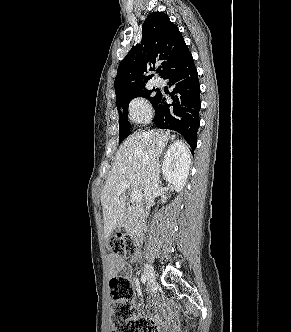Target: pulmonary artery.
<instances>
[{"label":"pulmonary artery","instance_id":"e3ab8cb5","mask_svg":"<svg viewBox=\"0 0 291 332\" xmlns=\"http://www.w3.org/2000/svg\"><path fill=\"white\" fill-rule=\"evenodd\" d=\"M155 84L157 86H162V85H164V81L161 78H156L155 79Z\"/></svg>","mask_w":291,"mask_h":332}]
</instances>
